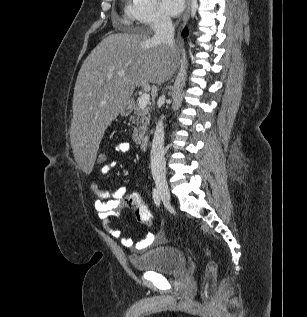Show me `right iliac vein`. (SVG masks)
Returning a JSON list of instances; mask_svg holds the SVG:
<instances>
[{
    "label": "right iliac vein",
    "instance_id": "right-iliac-vein-1",
    "mask_svg": "<svg viewBox=\"0 0 307 317\" xmlns=\"http://www.w3.org/2000/svg\"><path fill=\"white\" fill-rule=\"evenodd\" d=\"M154 181L162 200L168 203L170 200V192L166 178L164 176L156 175L154 176Z\"/></svg>",
    "mask_w": 307,
    "mask_h": 317
}]
</instances>
